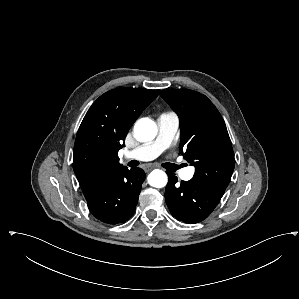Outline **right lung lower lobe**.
<instances>
[{"label":"right lung lower lobe","mask_w":299,"mask_h":299,"mask_svg":"<svg viewBox=\"0 0 299 299\" xmlns=\"http://www.w3.org/2000/svg\"><path fill=\"white\" fill-rule=\"evenodd\" d=\"M145 173L126 167L107 176L86 198L90 212L108 224L123 223L135 211Z\"/></svg>","instance_id":"right-lung-lower-lobe-1"}]
</instances>
